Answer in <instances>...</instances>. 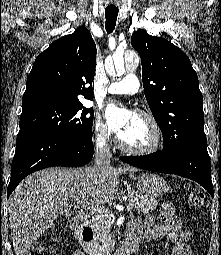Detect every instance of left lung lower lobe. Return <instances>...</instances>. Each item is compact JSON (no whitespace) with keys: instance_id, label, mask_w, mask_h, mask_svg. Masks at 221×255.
<instances>
[{"instance_id":"left-lung-lower-lobe-1","label":"left lung lower lobe","mask_w":221,"mask_h":255,"mask_svg":"<svg viewBox=\"0 0 221 255\" xmlns=\"http://www.w3.org/2000/svg\"><path fill=\"white\" fill-rule=\"evenodd\" d=\"M121 160L149 171L176 174L192 179L212 196L214 195L206 144H189L174 155L162 150L144 156H122Z\"/></svg>"}]
</instances>
